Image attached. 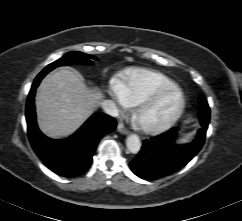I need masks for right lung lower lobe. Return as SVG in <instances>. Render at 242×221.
<instances>
[{"label":"right lung lower lobe","instance_id":"98d812e1","mask_svg":"<svg viewBox=\"0 0 242 221\" xmlns=\"http://www.w3.org/2000/svg\"><path fill=\"white\" fill-rule=\"evenodd\" d=\"M43 77H36L27 98L26 120L31 146L52 171L68 178L80 176L90 168L99 139L115 130L116 121L106 114L95 113L65 140L44 136L37 127L34 107L35 90Z\"/></svg>","mask_w":242,"mask_h":221}]
</instances>
